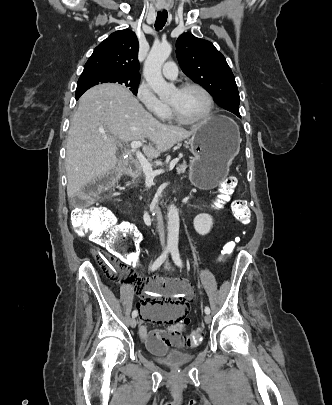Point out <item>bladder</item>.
<instances>
[{"label":"bladder","mask_w":332,"mask_h":405,"mask_svg":"<svg viewBox=\"0 0 332 405\" xmlns=\"http://www.w3.org/2000/svg\"><path fill=\"white\" fill-rule=\"evenodd\" d=\"M146 345V349L150 354L156 356L158 362L166 365L181 366L191 362L195 358L192 352H185L170 346H163L160 353L156 352L152 347Z\"/></svg>","instance_id":"bladder-1"}]
</instances>
